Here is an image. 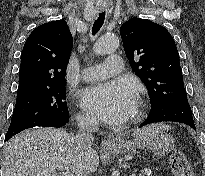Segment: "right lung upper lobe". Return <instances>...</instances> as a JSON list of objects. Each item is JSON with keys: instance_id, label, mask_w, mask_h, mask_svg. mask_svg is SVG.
Instances as JSON below:
<instances>
[{"instance_id": "right-lung-upper-lobe-1", "label": "right lung upper lobe", "mask_w": 205, "mask_h": 176, "mask_svg": "<svg viewBox=\"0 0 205 176\" xmlns=\"http://www.w3.org/2000/svg\"><path fill=\"white\" fill-rule=\"evenodd\" d=\"M72 35L65 20L35 28L21 55L17 94L65 84Z\"/></svg>"}]
</instances>
